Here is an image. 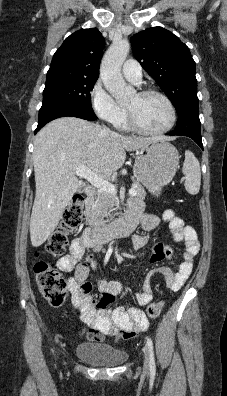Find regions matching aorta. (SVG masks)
Returning <instances> with one entry per match:
<instances>
[{
	"label": "aorta",
	"instance_id": "762f6f07",
	"mask_svg": "<svg viewBox=\"0 0 227 396\" xmlns=\"http://www.w3.org/2000/svg\"><path fill=\"white\" fill-rule=\"evenodd\" d=\"M130 45L126 40H115L105 53L100 75L107 91L118 103L128 101L131 89L127 87L122 74L121 66L129 53Z\"/></svg>",
	"mask_w": 227,
	"mask_h": 396
}]
</instances>
